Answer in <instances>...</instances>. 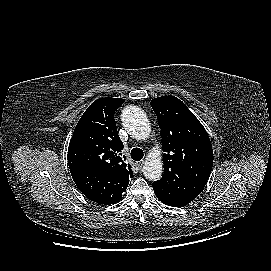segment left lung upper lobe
<instances>
[{"mask_svg": "<svg viewBox=\"0 0 271 271\" xmlns=\"http://www.w3.org/2000/svg\"><path fill=\"white\" fill-rule=\"evenodd\" d=\"M157 115L164 150L165 173L179 172L202 185L209 179L213 150L200 121L178 98L168 95L150 102Z\"/></svg>", "mask_w": 271, "mask_h": 271, "instance_id": "obj_1", "label": "left lung upper lobe"}]
</instances>
